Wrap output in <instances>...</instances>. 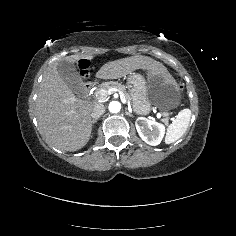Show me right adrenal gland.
I'll list each match as a JSON object with an SVG mask.
<instances>
[{
  "mask_svg": "<svg viewBox=\"0 0 236 236\" xmlns=\"http://www.w3.org/2000/svg\"><path fill=\"white\" fill-rule=\"evenodd\" d=\"M96 121L95 120H93V124L95 123Z\"/></svg>",
  "mask_w": 236,
  "mask_h": 236,
  "instance_id": "2a0ac1e0",
  "label": "right adrenal gland"
}]
</instances>
